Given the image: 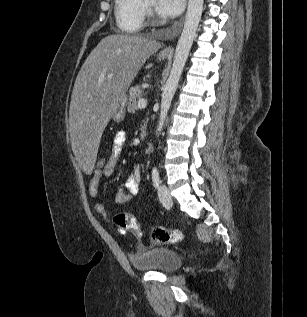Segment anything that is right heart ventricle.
Returning a JSON list of instances; mask_svg holds the SVG:
<instances>
[{
	"label": "right heart ventricle",
	"instance_id": "1",
	"mask_svg": "<svg viewBox=\"0 0 307 317\" xmlns=\"http://www.w3.org/2000/svg\"><path fill=\"white\" fill-rule=\"evenodd\" d=\"M115 19L119 29L137 33L144 26L145 10L142 0H115Z\"/></svg>",
	"mask_w": 307,
	"mask_h": 317
}]
</instances>
